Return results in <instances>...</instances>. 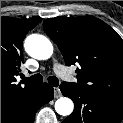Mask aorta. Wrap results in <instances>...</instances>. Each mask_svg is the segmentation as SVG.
Listing matches in <instances>:
<instances>
[{"mask_svg": "<svg viewBox=\"0 0 123 123\" xmlns=\"http://www.w3.org/2000/svg\"><path fill=\"white\" fill-rule=\"evenodd\" d=\"M26 52L33 58L47 60L53 54L51 41L40 34L29 35L24 42ZM74 109L73 101L67 97H61L55 102V110L59 115L69 116Z\"/></svg>", "mask_w": 123, "mask_h": 123, "instance_id": "762f6f07", "label": "aorta"}]
</instances>
